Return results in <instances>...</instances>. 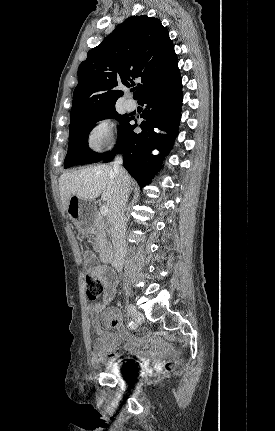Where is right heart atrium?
<instances>
[{
	"mask_svg": "<svg viewBox=\"0 0 275 431\" xmlns=\"http://www.w3.org/2000/svg\"><path fill=\"white\" fill-rule=\"evenodd\" d=\"M88 146L94 152L113 147L116 143V125L111 118L97 120L87 137Z\"/></svg>",
	"mask_w": 275,
	"mask_h": 431,
	"instance_id": "right-heart-atrium-1",
	"label": "right heart atrium"
}]
</instances>
